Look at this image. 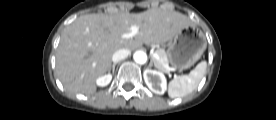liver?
I'll use <instances>...</instances> for the list:
<instances>
[{
    "label": "liver",
    "instance_id": "6515ba94",
    "mask_svg": "<svg viewBox=\"0 0 276 120\" xmlns=\"http://www.w3.org/2000/svg\"><path fill=\"white\" fill-rule=\"evenodd\" d=\"M191 25L187 16L165 8L137 14L80 16L62 33L56 56L58 78L68 91L92 95L97 89V78L110 70L117 50L132 51L143 44H164ZM132 26L138 27V34L129 39L121 38Z\"/></svg>",
    "mask_w": 276,
    "mask_h": 120
}]
</instances>
